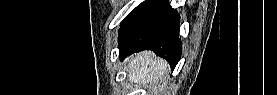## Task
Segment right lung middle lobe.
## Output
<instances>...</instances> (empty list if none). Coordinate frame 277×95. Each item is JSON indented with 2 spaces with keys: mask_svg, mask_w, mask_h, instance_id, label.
Masks as SVG:
<instances>
[{
  "mask_svg": "<svg viewBox=\"0 0 277 95\" xmlns=\"http://www.w3.org/2000/svg\"><path fill=\"white\" fill-rule=\"evenodd\" d=\"M146 1L142 2L141 4H139L134 10H132L130 12V14L122 21L121 25L128 19L130 18L136 11L139 7H141Z\"/></svg>",
  "mask_w": 277,
  "mask_h": 95,
  "instance_id": "1",
  "label": "right lung middle lobe"
}]
</instances>
